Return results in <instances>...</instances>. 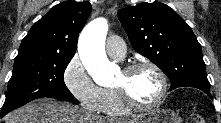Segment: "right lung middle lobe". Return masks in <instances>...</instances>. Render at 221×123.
Returning a JSON list of instances; mask_svg holds the SVG:
<instances>
[{"label":"right lung middle lobe","mask_w":221,"mask_h":123,"mask_svg":"<svg viewBox=\"0 0 221 123\" xmlns=\"http://www.w3.org/2000/svg\"><path fill=\"white\" fill-rule=\"evenodd\" d=\"M74 55L48 52H18L1 115L34 100L48 97L72 100L64 83V71Z\"/></svg>","instance_id":"obj_1"}]
</instances>
